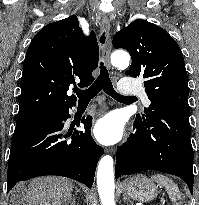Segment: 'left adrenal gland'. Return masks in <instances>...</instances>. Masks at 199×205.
<instances>
[{"label":"left adrenal gland","mask_w":199,"mask_h":205,"mask_svg":"<svg viewBox=\"0 0 199 205\" xmlns=\"http://www.w3.org/2000/svg\"><path fill=\"white\" fill-rule=\"evenodd\" d=\"M123 200H127L128 202H130L132 204V201L130 200L129 197H127L126 194H124ZM133 205V204H132Z\"/></svg>","instance_id":"left-adrenal-gland-1"}]
</instances>
